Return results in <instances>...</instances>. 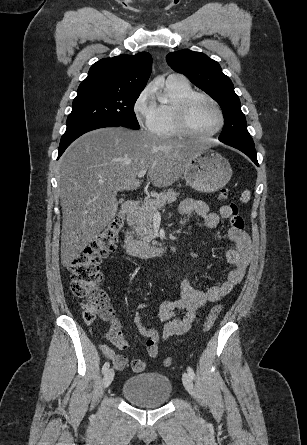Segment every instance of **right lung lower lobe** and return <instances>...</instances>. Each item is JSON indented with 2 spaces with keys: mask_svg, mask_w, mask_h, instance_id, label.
I'll return each instance as SVG.
<instances>
[{
  "mask_svg": "<svg viewBox=\"0 0 307 445\" xmlns=\"http://www.w3.org/2000/svg\"><path fill=\"white\" fill-rule=\"evenodd\" d=\"M119 125L109 124V123H88L78 125L72 128H67L66 132L61 138L59 145V154L58 158L63 154L65 149L79 136L83 135L86 132H89L94 129L103 128V127H117Z\"/></svg>",
  "mask_w": 307,
  "mask_h": 445,
  "instance_id": "1",
  "label": "right lung lower lobe"
}]
</instances>
